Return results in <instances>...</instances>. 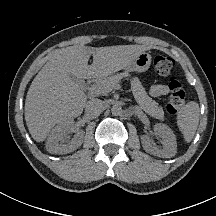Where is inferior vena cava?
<instances>
[{
    "mask_svg": "<svg viewBox=\"0 0 216 216\" xmlns=\"http://www.w3.org/2000/svg\"><path fill=\"white\" fill-rule=\"evenodd\" d=\"M103 106V101L100 99H91L85 104L86 111L90 114L99 113Z\"/></svg>",
    "mask_w": 216,
    "mask_h": 216,
    "instance_id": "obj_1",
    "label": "inferior vena cava"
}]
</instances>
